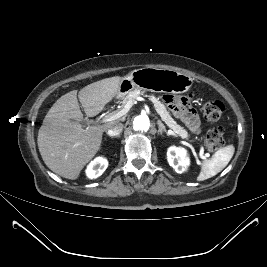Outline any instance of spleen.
I'll return each instance as SVG.
<instances>
[{"instance_id":"1","label":"spleen","mask_w":267,"mask_h":267,"mask_svg":"<svg viewBox=\"0 0 267 267\" xmlns=\"http://www.w3.org/2000/svg\"><path fill=\"white\" fill-rule=\"evenodd\" d=\"M234 151L233 145H228L216 151L209 160L203 163L197 181H204L221 172L233 157Z\"/></svg>"}]
</instances>
